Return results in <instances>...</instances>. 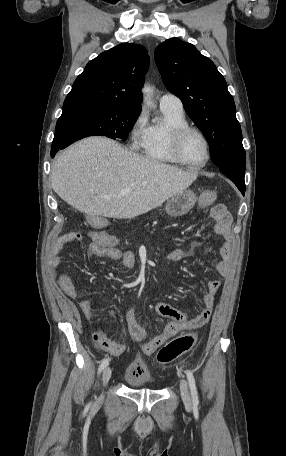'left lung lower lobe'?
Returning <instances> with one entry per match:
<instances>
[{
	"mask_svg": "<svg viewBox=\"0 0 286 456\" xmlns=\"http://www.w3.org/2000/svg\"><path fill=\"white\" fill-rule=\"evenodd\" d=\"M220 171L225 174L233 183L237 186V188L241 191L244 195L245 193V183H244V172L245 169L240 167H223Z\"/></svg>",
	"mask_w": 286,
	"mask_h": 456,
	"instance_id": "left-lung-lower-lobe-1",
	"label": "left lung lower lobe"
}]
</instances>
